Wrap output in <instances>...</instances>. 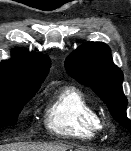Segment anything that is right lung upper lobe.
Listing matches in <instances>:
<instances>
[{"label": "right lung upper lobe", "mask_w": 131, "mask_h": 151, "mask_svg": "<svg viewBox=\"0 0 131 151\" xmlns=\"http://www.w3.org/2000/svg\"><path fill=\"white\" fill-rule=\"evenodd\" d=\"M50 65L46 55L14 50L10 60L0 62V86L40 88Z\"/></svg>", "instance_id": "cb5924a9"}]
</instances>
